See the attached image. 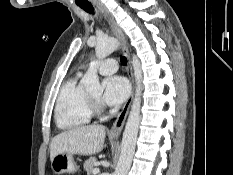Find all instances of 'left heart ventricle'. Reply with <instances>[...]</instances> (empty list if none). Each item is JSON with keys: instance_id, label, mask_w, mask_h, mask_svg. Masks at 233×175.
Segmentation results:
<instances>
[{"instance_id": "left-heart-ventricle-1", "label": "left heart ventricle", "mask_w": 233, "mask_h": 175, "mask_svg": "<svg viewBox=\"0 0 233 175\" xmlns=\"http://www.w3.org/2000/svg\"><path fill=\"white\" fill-rule=\"evenodd\" d=\"M92 98L99 100L100 99V94H92L90 95Z\"/></svg>"}]
</instances>
